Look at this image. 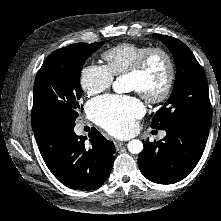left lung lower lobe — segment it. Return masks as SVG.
I'll return each mask as SVG.
<instances>
[{
	"label": "left lung lower lobe",
	"mask_w": 221,
	"mask_h": 221,
	"mask_svg": "<svg viewBox=\"0 0 221 221\" xmlns=\"http://www.w3.org/2000/svg\"><path fill=\"white\" fill-rule=\"evenodd\" d=\"M210 126L183 122L165 129L162 141L143 142L138 164L141 173L158 184L185 178L197 165L206 146Z\"/></svg>",
	"instance_id": "0a47b994"
}]
</instances>
